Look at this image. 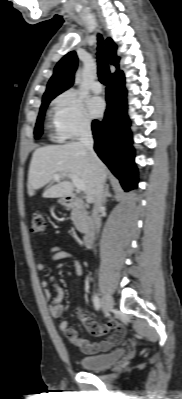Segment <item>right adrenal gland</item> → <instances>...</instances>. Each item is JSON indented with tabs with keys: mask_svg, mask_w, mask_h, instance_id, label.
Here are the masks:
<instances>
[{
	"mask_svg": "<svg viewBox=\"0 0 182 399\" xmlns=\"http://www.w3.org/2000/svg\"><path fill=\"white\" fill-rule=\"evenodd\" d=\"M108 197H112V194L109 192V185L107 184L105 187L104 202L107 201Z\"/></svg>",
	"mask_w": 182,
	"mask_h": 399,
	"instance_id": "obj_1",
	"label": "right adrenal gland"
}]
</instances>
